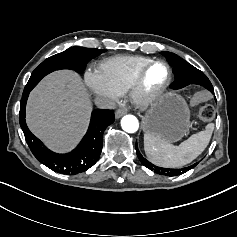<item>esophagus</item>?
Returning a JSON list of instances; mask_svg holds the SVG:
<instances>
[{
    "label": "esophagus",
    "instance_id": "esophagus-1",
    "mask_svg": "<svg viewBox=\"0 0 237 237\" xmlns=\"http://www.w3.org/2000/svg\"><path fill=\"white\" fill-rule=\"evenodd\" d=\"M127 108L126 107H121L115 112V117L118 119L125 115L127 113Z\"/></svg>",
    "mask_w": 237,
    "mask_h": 237
}]
</instances>
